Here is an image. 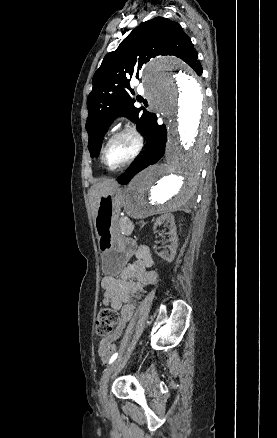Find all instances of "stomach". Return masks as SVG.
<instances>
[{
    "label": "stomach",
    "instance_id": "1",
    "mask_svg": "<svg viewBox=\"0 0 277 438\" xmlns=\"http://www.w3.org/2000/svg\"><path fill=\"white\" fill-rule=\"evenodd\" d=\"M123 191L117 186L99 199L95 231L101 251L102 270L106 275L119 274L130 257V240L121 235L118 218L123 203Z\"/></svg>",
    "mask_w": 277,
    "mask_h": 438
}]
</instances>
